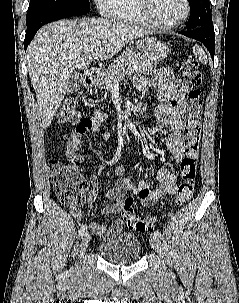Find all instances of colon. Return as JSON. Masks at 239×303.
Returning a JSON list of instances; mask_svg holds the SVG:
<instances>
[{"instance_id": "colon-1", "label": "colon", "mask_w": 239, "mask_h": 303, "mask_svg": "<svg viewBox=\"0 0 239 303\" xmlns=\"http://www.w3.org/2000/svg\"><path fill=\"white\" fill-rule=\"evenodd\" d=\"M181 75L190 83L188 93V116L185 124L184 153L180 161L182 182L176 192L175 203L182 206L193 196L197 180V161L201 133V116L203 100L201 92L202 75L199 63L192 57H185L180 65ZM81 114L75 106L74 99H66L60 107L56 121L61 124H75ZM49 174L56 196L69 206H81L85 203L88 183L81 176L79 162L70 158L65 161L50 162ZM122 217L129 229L139 232H151L156 226L153 216H140L134 211V199L130 196L123 200Z\"/></svg>"}]
</instances>
